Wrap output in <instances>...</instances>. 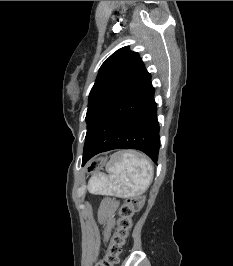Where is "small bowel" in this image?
<instances>
[{
    "mask_svg": "<svg viewBox=\"0 0 233 266\" xmlns=\"http://www.w3.org/2000/svg\"><path fill=\"white\" fill-rule=\"evenodd\" d=\"M116 203L111 200H104L99 208V221L104 226V238L107 239L114 226V212Z\"/></svg>",
    "mask_w": 233,
    "mask_h": 266,
    "instance_id": "small-bowel-1",
    "label": "small bowel"
}]
</instances>
